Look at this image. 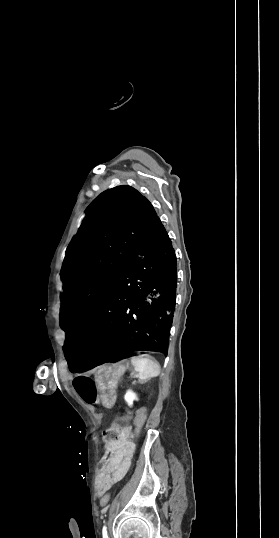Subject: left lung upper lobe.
<instances>
[{"mask_svg":"<svg viewBox=\"0 0 279 538\" xmlns=\"http://www.w3.org/2000/svg\"><path fill=\"white\" fill-rule=\"evenodd\" d=\"M157 218L151 203L130 186L93 201L62 266L60 326L66 335L93 317Z\"/></svg>","mask_w":279,"mask_h":538,"instance_id":"left-lung-upper-lobe-1","label":"left lung upper lobe"}]
</instances>
